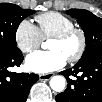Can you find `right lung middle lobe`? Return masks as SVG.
<instances>
[{"mask_svg":"<svg viewBox=\"0 0 102 102\" xmlns=\"http://www.w3.org/2000/svg\"><path fill=\"white\" fill-rule=\"evenodd\" d=\"M34 10L22 9L15 4H0V52H17L16 30L20 22Z\"/></svg>","mask_w":102,"mask_h":102,"instance_id":"right-lung-middle-lobe-1","label":"right lung middle lobe"}]
</instances>
